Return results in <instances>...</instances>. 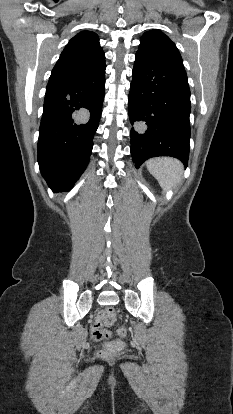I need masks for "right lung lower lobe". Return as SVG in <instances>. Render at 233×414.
Returning <instances> with one entry per match:
<instances>
[{"mask_svg": "<svg viewBox=\"0 0 233 414\" xmlns=\"http://www.w3.org/2000/svg\"><path fill=\"white\" fill-rule=\"evenodd\" d=\"M105 68L79 76H50L38 162L53 191L69 190L87 167L102 113Z\"/></svg>", "mask_w": 233, "mask_h": 414, "instance_id": "right-lung-lower-lobe-1", "label": "right lung lower lobe"}]
</instances>
